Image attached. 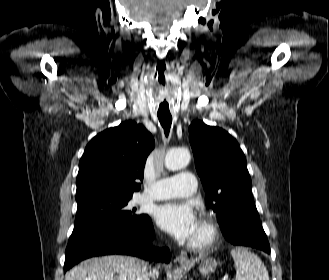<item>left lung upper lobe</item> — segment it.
<instances>
[{
    "instance_id": "1",
    "label": "left lung upper lobe",
    "mask_w": 329,
    "mask_h": 280,
    "mask_svg": "<svg viewBox=\"0 0 329 280\" xmlns=\"http://www.w3.org/2000/svg\"><path fill=\"white\" fill-rule=\"evenodd\" d=\"M189 140L206 203L221 227L229 225L253 202L246 158L228 132L200 120L190 125Z\"/></svg>"
}]
</instances>
